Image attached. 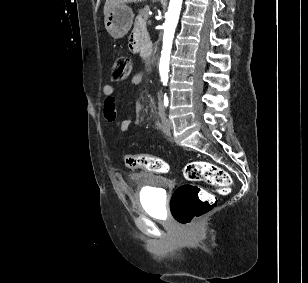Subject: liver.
<instances>
[{
    "instance_id": "6515ba94",
    "label": "liver",
    "mask_w": 308,
    "mask_h": 283,
    "mask_svg": "<svg viewBox=\"0 0 308 283\" xmlns=\"http://www.w3.org/2000/svg\"><path fill=\"white\" fill-rule=\"evenodd\" d=\"M144 0H106L105 5H104V15H107L109 11L120 4H125V3H137V2H142Z\"/></svg>"
}]
</instances>
